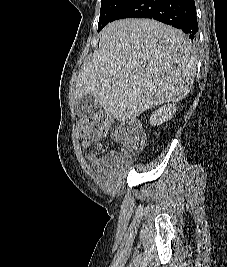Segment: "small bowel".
Returning <instances> with one entry per match:
<instances>
[{"instance_id": "small-bowel-1", "label": "small bowel", "mask_w": 227, "mask_h": 267, "mask_svg": "<svg viewBox=\"0 0 227 267\" xmlns=\"http://www.w3.org/2000/svg\"><path fill=\"white\" fill-rule=\"evenodd\" d=\"M115 137H118V131L115 132ZM85 146L89 145V141L86 140L83 142ZM90 157L92 159V162L96 168H101L102 164L104 163V160L106 159L104 156H101L97 154L96 152H90Z\"/></svg>"}]
</instances>
